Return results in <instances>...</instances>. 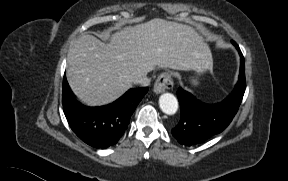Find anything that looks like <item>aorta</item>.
Listing matches in <instances>:
<instances>
[{"instance_id":"762f6f07","label":"aorta","mask_w":288,"mask_h":181,"mask_svg":"<svg viewBox=\"0 0 288 181\" xmlns=\"http://www.w3.org/2000/svg\"><path fill=\"white\" fill-rule=\"evenodd\" d=\"M159 106L165 114L173 115L178 110V101L173 94L164 93L159 98Z\"/></svg>"}]
</instances>
